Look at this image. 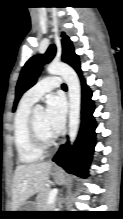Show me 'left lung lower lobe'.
<instances>
[{
    "instance_id": "left-lung-lower-lobe-1",
    "label": "left lung lower lobe",
    "mask_w": 123,
    "mask_h": 219,
    "mask_svg": "<svg viewBox=\"0 0 123 219\" xmlns=\"http://www.w3.org/2000/svg\"><path fill=\"white\" fill-rule=\"evenodd\" d=\"M82 80V124L79 137L73 147L69 142L62 145L53 158L59 166L69 173L80 177H87L88 167L95 146L96 123L92 116L94 104L91 100L92 92L83 80L80 65L75 67Z\"/></svg>"
}]
</instances>
